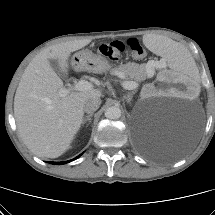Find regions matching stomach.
Returning <instances> with one entry per match:
<instances>
[{
    "mask_svg": "<svg viewBox=\"0 0 215 215\" xmlns=\"http://www.w3.org/2000/svg\"><path fill=\"white\" fill-rule=\"evenodd\" d=\"M72 64L78 70H85L94 73H106L111 70L109 61L98 54L86 49L73 55Z\"/></svg>",
    "mask_w": 215,
    "mask_h": 215,
    "instance_id": "1",
    "label": "stomach"
}]
</instances>
